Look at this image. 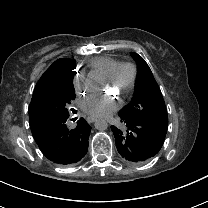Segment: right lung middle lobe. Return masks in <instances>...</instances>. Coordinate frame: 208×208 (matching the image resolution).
Listing matches in <instances>:
<instances>
[{
	"label": "right lung middle lobe",
	"mask_w": 208,
	"mask_h": 208,
	"mask_svg": "<svg viewBox=\"0 0 208 208\" xmlns=\"http://www.w3.org/2000/svg\"><path fill=\"white\" fill-rule=\"evenodd\" d=\"M76 63L64 69L50 81L37 94L35 104L29 106V117L40 119L49 117H68V106L75 99L73 75Z\"/></svg>",
	"instance_id": "dd1d6c3e"
}]
</instances>
